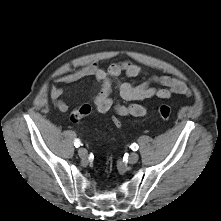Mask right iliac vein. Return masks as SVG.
Returning <instances> with one entry per match:
<instances>
[{"mask_svg":"<svg viewBox=\"0 0 221 221\" xmlns=\"http://www.w3.org/2000/svg\"><path fill=\"white\" fill-rule=\"evenodd\" d=\"M78 155L80 156V158L86 159L87 158V150L84 148H80L78 150Z\"/></svg>","mask_w":221,"mask_h":221,"instance_id":"obj_1","label":"right iliac vein"}]
</instances>
